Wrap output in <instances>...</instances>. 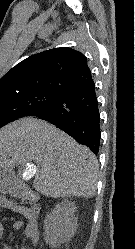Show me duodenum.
<instances>
[{"mask_svg":"<svg viewBox=\"0 0 135 249\" xmlns=\"http://www.w3.org/2000/svg\"><path fill=\"white\" fill-rule=\"evenodd\" d=\"M20 193H21V197L29 202L35 203L38 201L37 194L31 189L23 187L20 189Z\"/></svg>","mask_w":135,"mask_h":249,"instance_id":"410a0bca","label":"duodenum"}]
</instances>
